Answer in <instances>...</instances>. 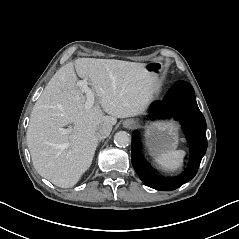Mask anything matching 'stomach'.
Masks as SVG:
<instances>
[{
    "label": "stomach",
    "mask_w": 239,
    "mask_h": 239,
    "mask_svg": "<svg viewBox=\"0 0 239 239\" xmlns=\"http://www.w3.org/2000/svg\"><path fill=\"white\" fill-rule=\"evenodd\" d=\"M177 140L176 130L168 125H153L146 132L147 147L155 158L167 150L174 149Z\"/></svg>",
    "instance_id": "1"
}]
</instances>
